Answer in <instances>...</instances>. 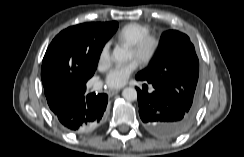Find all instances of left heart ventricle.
Returning a JSON list of instances; mask_svg holds the SVG:
<instances>
[{
  "instance_id": "b2bd125f",
  "label": "left heart ventricle",
  "mask_w": 244,
  "mask_h": 157,
  "mask_svg": "<svg viewBox=\"0 0 244 157\" xmlns=\"http://www.w3.org/2000/svg\"><path fill=\"white\" fill-rule=\"evenodd\" d=\"M130 58L131 59H137L136 54L130 49Z\"/></svg>"
}]
</instances>
